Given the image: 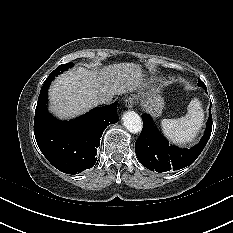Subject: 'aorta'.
I'll return each instance as SVG.
<instances>
[{"label": "aorta", "instance_id": "obj_1", "mask_svg": "<svg viewBox=\"0 0 233 233\" xmlns=\"http://www.w3.org/2000/svg\"><path fill=\"white\" fill-rule=\"evenodd\" d=\"M123 125L125 128L133 133L137 134L142 130V119L141 117L134 111H127L123 114L122 117Z\"/></svg>", "mask_w": 233, "mask_h": 233}]
</instances>
